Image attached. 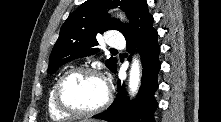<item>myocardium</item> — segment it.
Segmentation results:
<instances>
[{"instance_id": "1", "label": "myocardium", "mask_w": 221, "mask_h": 122, "mask_svg": "<svg viewBox=\"0 0 221 122\" xmlns=\"http://www.w3.org/2000/svg\"><path fill=\"white\" fill-rule=\"evenodd\" d=\"M79 74L94 75V76L100 78L103 81V83L105 84V88H106L105 98L100 105H98L97 107H95L93 109L82 110V109L75 108V107L69 105L64 99L63 89H64L65 84L71 78H73L74 76L79 75ZM111 99H112V92L107 84V81H106L104 75L99 70L92 68V67H76V68H73V69L67 71L58 79V81L55 85V89H54V101H55L56 107L60 111L66 113L70 116L87 117V116H93L95 114H98L107 108Z\"/></svg>"}]
</instances>
